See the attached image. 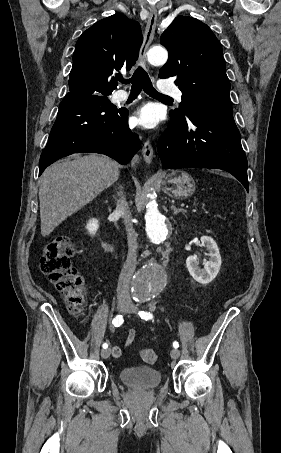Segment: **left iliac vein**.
Here are the masks:
<instances>
[{"label": "left iliac vein", "mask_w": 281, "mask_h": 453, "mask_svg": "<svg viewBox=\"0 0 281 453\" xmlns=\"http://www.w3.org/2000/svg\"><path fill=\"white\" fill-rule=\"evenodd\" d=\"M136 304H130V305H127L125 308H123L122 311H124V313H135L137 311V308H136ZM170 355L172 356L173 359H178L179 358V351L177 349H174L173 351H170Z\"/></svg>", "instance_id": "left-iliac-vein-1"}]
</instances>
